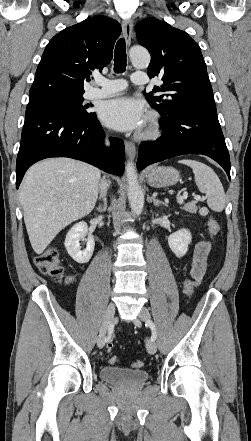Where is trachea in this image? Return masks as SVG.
<instances>
[{"instance_id": "trachea-1", "label": "trachea", "mask_w": 251, "mask_h": 441, "mask_svg": "<svg viewBox=\"0 0 251 441\" xmlns=\"http://www.w3.org/2000/svg\"><path fill=\"white\" fill-rule=\"evenodd\" d=\"M126 44L123 38L119 39L115 46L114 72L123 73L127 65Z\"/></svg>"}]
</instances>
